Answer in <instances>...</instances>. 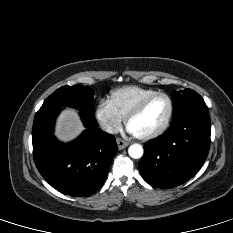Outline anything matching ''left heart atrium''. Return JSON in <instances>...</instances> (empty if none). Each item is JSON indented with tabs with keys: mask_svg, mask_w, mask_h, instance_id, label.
Listing matches in <instances>:
<instances>
[{
	"mask_svg": "<svg viewBox=\"0 0 233 233\" xmlns=\"http://www.w3.org/2000/svg\"><path fill=\"white\" fill-rule=\"evenodd\" d=\"M128 131L135 135V133L128 127Z\"/></svg>",
	"mask_w": 233,
	"mask_h": 233,
	"instance_id": "39dd6f15",
	"label": "left heart atrium"
}]
</instances>
